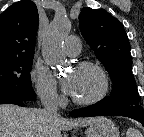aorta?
<instances>
[{
	"label": "aorta",
	"instance_id": "obj_1",
	"mask_svg": "<svg viewBox=\"0 0 144 137\" xmlns=\"http://www.w3.org/2000/svg\"><path fill=\"white\" fill-rule=\"evenodd\" d=\"M71 29V22L65 16H56L43 38L42 55L47 65L60 69L65 65L63 43Z\"/></svg>",
	"mask_w": 144,
	"mask_h": 137
}]
</instances>
